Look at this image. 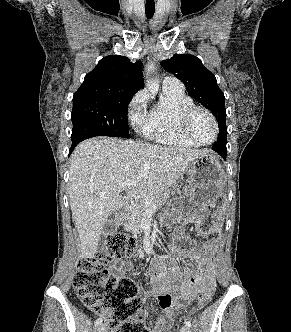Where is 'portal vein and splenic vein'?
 Listing matches in <instances>:
<instances>
[{
  "instance_id": "portal-vein-and-splenic-vein-1",
  "label": "portal vein and splenic vein",
  "mask_w": 291,
  "mask_h": 332,
  "mask_svg": "<svg viewBox=\"0 0 291 332\" xmlns=\"http://www.w3.org/2000/svg\"><path fill=\"white\" fill-rule=\"evenodd\" d=\"M133 181H126V182H123L120 186V191H123V190H126L128 188H130L132 185H133ZM145 203L152 207V208H156L155 204L153 203V200L152 199H149V198H146L145 199Z\"/></svg>"
}]
</instances>
